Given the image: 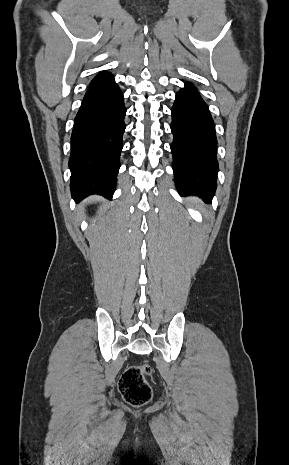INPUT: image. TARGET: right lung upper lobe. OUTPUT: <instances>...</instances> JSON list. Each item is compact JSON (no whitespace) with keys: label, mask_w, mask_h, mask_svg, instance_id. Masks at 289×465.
Masks as SVG:
<instances>
[{"label":"right lung upper lobe","mask_w":289,"mask_h":465,"mask_svg":"<svg viewBox=\"0 0 289 465\" xmlns=\"http://www.w3.org/2000/svg\"><path fill=\"white\" fill-rule=\"evenodd\" d=\"M113 79V76L110 73L102 72L99 73L90 83L91 86H97L109 82Z\"/></svg>","instance_id":"right-lung-upper-lobe-1"}]
</instances>
